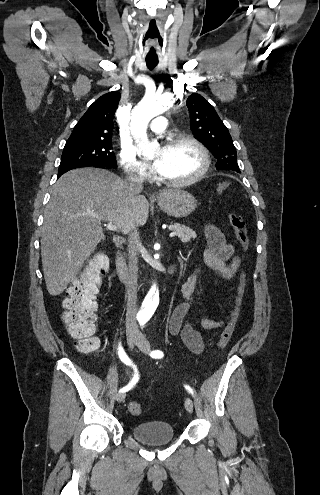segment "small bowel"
I'll return each instance as SVG.
<instances>
[{"instance_id": "small-bowel-1", "label": "small bowel", "mask_w": 320, "mask_h": 495, "mask_svg": "<svg viewBox=\"0 0 320 495\" xmlns=\"http://www.w3.org/2000/svg\"><path fill=\"white\" fill-rule=\"evenodd\" d=\"M205 234L209 248L204 253V265L227 280L233 279L241 265L240 258L235 254L234 246L226 240L223 232L212 223L206 224ZM199 272L200 268H195L183 283L181 292L184 301L177 305L168 322L170 334H180L186 347L194 354H199L204 349V341L194 323L189 319V314L195 306L192 294ZM197 324L201 329L215 330L223 327L226 320L200 318Z\"/></svg>"}]
</instances>
